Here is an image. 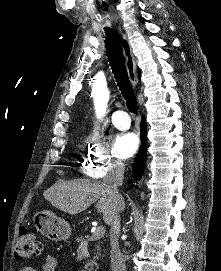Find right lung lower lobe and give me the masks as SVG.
I'll use <instances>...</instances> for the list:
<instances>
[{
	"label": "right lung lower lobe",
	"mask_w": 221,
	"mask_h": 271,
	"mask_svg": "<svg viewBox=\"0 0 221 271\" xmlns=\"http://www.w3.org/2000/svg\"><path fill=\"white\" fill-rule=\"evenodd\" d=\"M140 137L142 144L133 164V177L135 180H138L142 177L147 156V134H146V121L144 116H142V130Z\"/></svg>",
	"instance_id": "obj_1"
}]
</instances>
